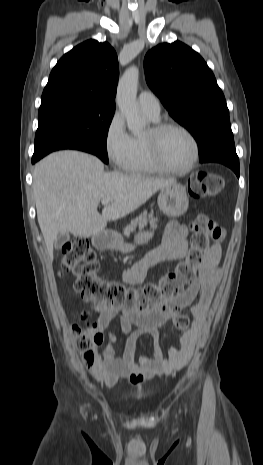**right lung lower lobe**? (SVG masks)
Here are the masks:
<instances>
[{
  "instance_id": "1",
  "label": "right lung lower lobe",
  "mask_w": 263,
  "mask_h": 465,
  "mask_svg": "<svg viewBox=\"0 0 263 465\" xmlns=\"http://www.w3.org/2000/svg\"><path fill=\"white\" fill-rule=\"evenodd\" d=\"M61 149H75V150H81V151H85V152H88V153H92V151L88 147H86V146H84V145H82L80 143L63 142L61 144H58V145H55V146L49 148L48 150H46L45 153H43L40 156H33L32 157V164H34L35 162H37L38 160L43 158L45 155H47V154H49V153H51L53 151L61 150Z\"/></svg>"
}]
</instances>
